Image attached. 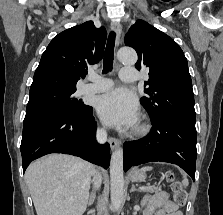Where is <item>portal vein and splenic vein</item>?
Wrapping results in <instances>:
<instances>
[{"mask_svg":"<svg viewBox=\"0 0 223 215\" xmlns=\"http://www.w3.org/2000/svg\"><path fill=\"white\" fill-rule=\"evenodd\" d=\"M145 187L148 188L149 190L152 188L149 183H146ZM145 187L139 186V189H145ZM70 199H74V197H70Z\"/></svg>","mask_w":223,"mask_h":215,"instance_id":"1","label":"portal vein and splenic vein"}]
</instances>
